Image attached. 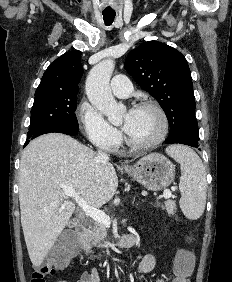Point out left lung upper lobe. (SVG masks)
<instances>
[{
	"instance_id": "left-lung-upper-lobe-1",
	"label": "left lung upper lobe",
	"mask_w": 232,
	"mask_h": 282,
	"mask_svg": "<svg viewBox=\"0 0 232 282\" xmlns=\"http://www.w3.org/2000/svg\"><path fill=\"white\" fill-rule=\"evenodd\" d=\"M125 68L159 102L171 129L199 137L190 69L182 53L164 43L148 41L129 53Z\"/></svg>"
}]
</instances>
